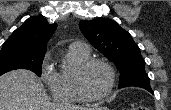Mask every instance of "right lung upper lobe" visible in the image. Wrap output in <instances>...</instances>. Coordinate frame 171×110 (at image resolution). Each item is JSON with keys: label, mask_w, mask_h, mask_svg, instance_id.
Returning <instances> with one entry per match:
<instances>
[{"label": "right lung upper lobe", "mask_w": 171, "mask_h": 110, "mask_svg": "<svg viewBox=\"0 0 171 110\" xmlns=\"http://www.w3.org/2000/svg\"><path fill=\"white\" fill-rule=\"evenodd\" d=\"M56 28L57 24L49 25L43 17H31L11 34L3 46L17 47L26 52L43 55Z\"/></svg>", "instance_id": "1"}]
</instances>
